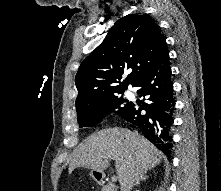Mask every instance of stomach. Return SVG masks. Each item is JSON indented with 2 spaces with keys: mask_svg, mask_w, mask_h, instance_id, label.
I'll list each match as a JSON object with an SVG mask.
<instances>
[{
  "mask_svg": "<svg viewBox=\"0 0 221 191\" xmlns=\"http://www.w3.org/2000/svg\"><path fill=\"white\" fill-rule=\"evenodd\" d=\"M90 176L94 179V180H98V177L101 176V172L92 170L90 172Z\"/></svg>",
  "mask_w": 221,
  "mask_h": 191,
  "instance_id": "0dacf381",
  "label": "stomach"
}]
</instances>
